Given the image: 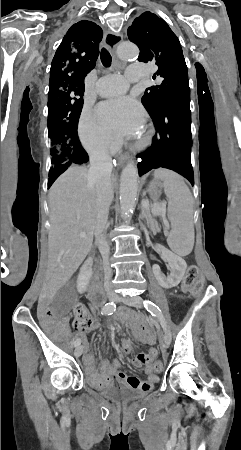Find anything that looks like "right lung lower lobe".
<instances>
[{
    "label": "right lung lower lobe",
    "mask_w": 241,
    "mask_h": 450,
    "mask_svg": "<svg viewBox=\"0 0 241 450\" xmlns=\"http://www.w3.org/2000/svg\"><path fill=\"white\" fill-rule=\"evenodd\" d=\"M63 135L70 145L71 158L68 162L52 167L49 171L48 188L70 165L86 163L89 159L88 154L81 146L76 129L64 130Z\"/></svg>",
    "instance_id": "98d812e1"
}]
</instances>
